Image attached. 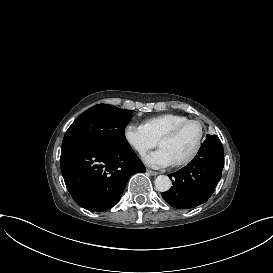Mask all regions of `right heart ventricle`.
<instances>
[{"instance_id": "right-heart-ventricle-1", "label": "right heart ventricle", "mask_w": 273, "mask_h": 273, "mask_svg": "<svg viewBox=\"0 0 273 273\" xmlns=\"http://www.w3.org/2000/svg\"><path fill=\"white\" fill-rule=\"evenodd\" d=\"M188 120H190L188 116L168 113L149 118L145 120L143 124L151 135L158 141L165 132Z\"/></svg>"}]
</instances>
